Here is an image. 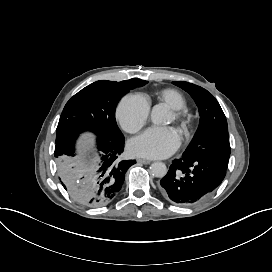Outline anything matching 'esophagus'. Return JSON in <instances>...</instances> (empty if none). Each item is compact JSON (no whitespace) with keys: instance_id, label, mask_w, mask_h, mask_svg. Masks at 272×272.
I'll list each match as a JSON object with an SVG mask.
<instances>
[{"instance_id":"esophagus-1","label":"esophagus","mask_w":272,"mask_h":272,"mask_svg":"<svg viewBox=\"0 0 272 272\" xmlns=\"http://www.w3.org/2000/svg\"><path fill=\"white\" fill-rule=\"evenodd\" d=\"M137 162L142 163V164H150V163H151L150 160H148V159H143V158H138V159H137Z\"/></svg>"}]
</instances>
